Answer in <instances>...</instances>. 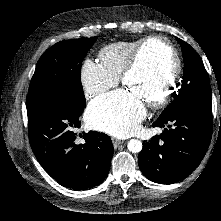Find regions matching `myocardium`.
Masks as SVG:
<instances>
[{
	"instance_id": "obj_1",
	"label": "myocardium",
	"mask_w": 221,
	"mask_h": 221,
	"mask_svg": "<svg viewBox=\"0 0 221 221\" xmlns=\"http://www.w3.org/2000/svg\"><path fill=\"white\" fill-rule=\"evenodd\" d=\"M153 42H161L165 44L171 54L173 61V68L171 71L169 83L165 88L164 92L160 94L154 101L147 103V106L152 109H158L165 106L173 97L177 90L178 79L181 72V59L177 52L175 45L171 42V40L165 36H149L143 38L133 49L129 56V60L124 67L120 80L123 85H125L126 79L128 76L136 69L139 61V57L143 49Z\"/></svg>"
}]
</instances>
